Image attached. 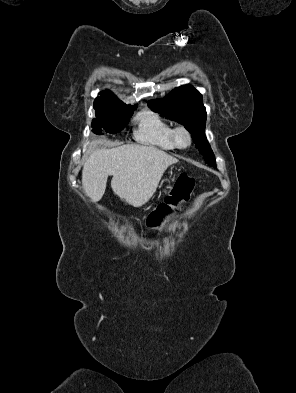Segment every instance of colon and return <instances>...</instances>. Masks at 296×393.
<instances>
[{
  "label": "colon",
  "instance_id": "1",
  "mask_svg": "<svg viewBox=\"0 0 296 393\" xmlns=\"http://www.w3.org/2000/svg\"><path fill=\"white\" fill-rule=\"evenodd\" d=\"M194 188V179L185 173L177 176L171 193L165 201L150 213L147 226L151 229L160 228L186 202Z\"/></svg>",
  "mask_w": 296,
  "mask_h": 393
}]
</instances>
